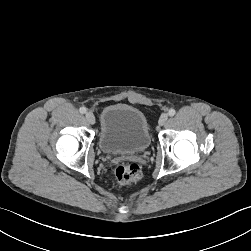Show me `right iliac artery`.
<instances>
[{
	"instance_id": "right-iliac-artery-1",
	"label": "right iliac artery",
	"mask_w": 251,
	"mask_h": 251,
	"mask_svg": "<svg viewBox=\"0 0 251 251\" xmlns=\"http://www.w3.org/2000/svg\"><path fill=\"white\" fill-rule=\"evenodd\" d=\"M79 111H80V113L84 114V113H86L87 109L85 107H81L79 109Z\"/></svg>"
}]
</instances>
